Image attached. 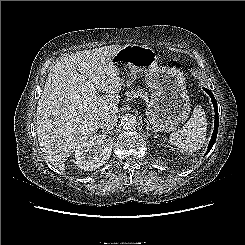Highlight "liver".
Here are the masks:
<instances>
[{"label": "liver", "instance_id": "6515ba94", "mask_svg": "<svg viewBox=\"0 0 245 245\" xmlns=\"http://www.w3.org/2000/svg\"><path fill=\"white\" fill-rule=\"evenodd\" d=\"M121 48L110 45L73 53L48 74L37 105V136L45 158L61 171L75 149L98 131L101 119L118 111L116 93L123 84L111 60ZM80 76L106 95L92 91Z\"/></svg>", "mask_w": 245, "mask_h": 245}]
</instances>
